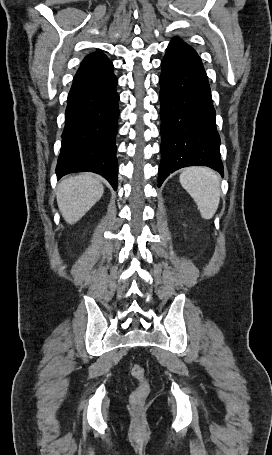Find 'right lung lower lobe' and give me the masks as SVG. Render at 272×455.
Returning a JSON list of instances; mask_svg holds the SVG:
<instances>
[{
    "instance_id": "obj_1",
    "label": "right lung lower lobe",
    "mask_w": 272,
    "mask_h": 455,
    "mask_svg": "<svg viewBox=\"0 0 272 455\" xmlns=\"http://www.w3.org/2000/svg\"><path fill=\"white\" fill-rule=\"evenodd\" d=\"M118 80L113 70L73 82L56 167L57 178L73 172L102 175L117 189Z\"/></svg>"
}]
</instances>
